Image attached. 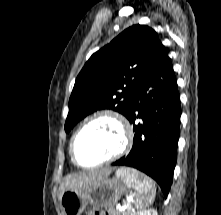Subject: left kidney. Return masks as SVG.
<instances>
[{
	"label": "left kidney",
	"instance_id": "5707ae66",
	"mask_svg": "<svg viewBox=\"0 0 221 215\" xmlns=\"http://www.w3.org/2000/svg\"><path fill=\"white\" fill-rule=\"evenodd\" d=\"M135 215H158L155 209H145L137 212Z\"/></svg>",
	"mask_w": 221,
	"mask_h": 215
}]
</instances>
